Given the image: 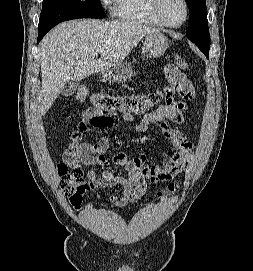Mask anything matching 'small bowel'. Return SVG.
<instances>
[{
    "mask_svg": "<svg viewBox=\"0 0 253 271\" xmlns=\"http://www.w3.org/2000/svg\"><path fill=\"white\" fill-rule=\"evenodd\" d=\"M183 80V75L175 67L166 66L164 82L161 86L165 99L164 104L145 115L141 121L135 120L131 114H122L126 121L133 123L134 130L137 132H147L150 127L160 130L174 148V152L169 158L161 165L149 166L146 163L145 154L131 159L126 153L117 152L114 154L112 162L124 168L128 172V177L125 178L109 170L98 172L90 168L87 171V191L121 185L122 195L110 197L114 204L121 206L140 199L146 192L148 183L169 181L186 168L194 151L193 143L184 132L169 125L170 122L175 124L184 122V113L194 96L177 89V82H183ZM176 94L179 98L176 97ZM113 123L111 115L97 114L92 110L86 111L69 138L68 147L63 154L64 161L79 168L107 164L106 152L110 145L109 139L101 137L96 143H85L82 142V139L90 125L111 128Z\"/></svg>",
    "mask_w": 253,
    "mask_h": 271,
    "instance_id": "1",
    "label": "small bowel"
}]
</instances>
